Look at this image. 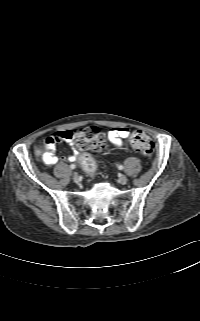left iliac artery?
Listing matches in <instances>:
<instances>
[{"instance_id": "obj_1", "label": "left iliac artery", "mask_w": 200, "mask_h": 321, "mask_svg": "<svg viewBox=\"0 0 200 321\" xmlns=\"http://www.w3.org/2000/svg\"><path fill=\"white\" fill-rule=\"evenodd\" d=\"M123 168H124L123 165H119V166H118V169H119V170H123Z\"/></svg>"}]
</instances>
